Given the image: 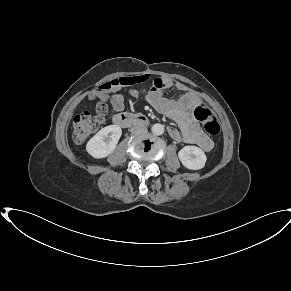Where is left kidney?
Returning a JSON list of instances; mask_svg holds the SVG:
<instances>
[{"label":"left kidney","mask_w":291,"mask_h":291,"mask_svg":"<svg viewBox=\"0 0 291 291\" xmlns=\"http://www.w3.org/2000/svg\"><path fill=\"white\" fill-rule=\"evenodd\" d=\"M178 157L184 167L199 170L205 166L207 157L203 150L196 146H185L178 152Z\"/></svg>","instance_id":"obj_1"}]
</instances>
